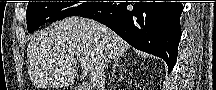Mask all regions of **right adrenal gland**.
Returning a JSON list of instances; mask_svg holds the SVG:
<instances>
[{"label": "right adrenal gland", "mask_w": 216, "mask_h": 90, "mask_svg": "<svg viewBox=\"0 0 216 90\" xmlns=\"http://www.w3.org/2000/svg\"><path fill=\"white\" fill-rule=\"evenodd\" d=\"M122 60H126L125 56H121V58H117V60H113V72H112V76L110 78V84H111V82H113L116 68H117V66H120V64H122Z\"/></svg>", "instance_id": "1"}]
</instances>
